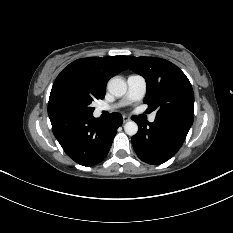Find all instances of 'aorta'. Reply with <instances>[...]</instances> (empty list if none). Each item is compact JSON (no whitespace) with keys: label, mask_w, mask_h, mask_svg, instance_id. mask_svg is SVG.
Masks as SVG:
<instances>
[{"label":"aorta","mask_w":233,"mask_h":233,"mask_svg":"<svg viewBox=\"0 0 233 233\" xmlns=\"http://www.w3.org/2000/svg\"><path fill=\"white\" fill-rule=\"evenodd\" d=\"M108 91L116 96L121 97L127 91V84L126 82L118 77H113L108 81L107 84ZM124 131L126 134L133 136L138 132V125L134 121H129L124 125Z\"/></svg>","instance_id":"aorta-1"}]
</instances>
